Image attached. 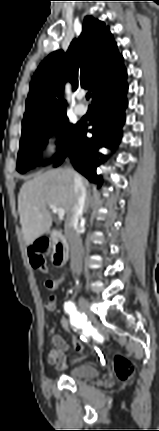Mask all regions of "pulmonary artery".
Returning <instances> with one entry per match:
<instances>
[{
    "label": "pulmonary artery",
    "instance_id": "obj_1",
    "mask_svg": "<svg viewBox=\"0 0 159 431\" xmlns=\"http://www.w3.org/2000/svg\"><path fill=\"white\" fill-rule=\"evenodd\" d=\"M78 98L81 99L82 96L80 95ZM75 112L78 115H84L87 112V108L83 104H77L75 106Z\"/></svg>",
    "mask_w": 159,
    "mask_h": 431
}]
</instances>
